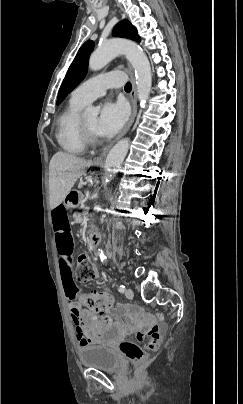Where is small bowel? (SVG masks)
<instances>
[{
    "mask_svg": "<svg viewBox=\"0 0 243 404\" xmlns=\"http://www.w3.org/2000/svg\"><path fill=\"white\" fill-rule=\"evenodd\" d=\"M51 222L59 255L62 283L66 296L70 300L69 313L75 324L79 345L116 344L126 334L127 326L121 321H113L110 316H98L83 312L74 302L78 290L72 271L73 239L65 204L56 205L52 209ZM112 327L116 330L114 335L109 334Z\"/></svg>",
    "mask_w": 243,
    "mask_h": 404,
    "instance_id": "obj_1",
    "label": "small bowel"
}]
</instances>
